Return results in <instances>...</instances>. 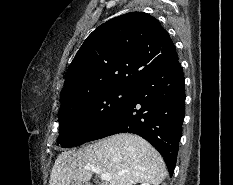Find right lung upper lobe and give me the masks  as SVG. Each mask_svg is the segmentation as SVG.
Instances as JSON below:
<instances>
[{
	"label": "right lung upper lobe",
	"instance_id": "right-lung-upper-lobe-1",
	"mask_svg": "<svg viewBox=\"0 0 233 185\" xmlns=\"http://www.w3.org/2000/svg\"><path fill=\"white\" fill-rule=\"evenodd\" d=\"M178 59L168 32L154 17L131 12L95 29L70 64L61 107L107 89H128Z\"/></svg>",
	"mask_w": 233,
	"mask_h": 185
}]
</instances>
